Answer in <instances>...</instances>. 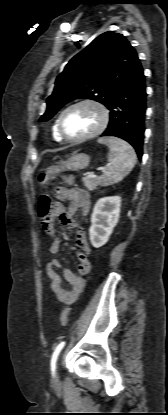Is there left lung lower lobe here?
I'll use <instances>...</instances> for the list:
<instances>
[{
    "label": "left lung lower lobe",
    "instance_id": "obj_1",
    "mask_svg": "<svg viewBox=\"0 0 168 415\" xmlns=\"http://www.w3.org/2000/svg\"><path fill=\"white\" fill-rule=\"evenodd\" d=\"M146 96L145 77L139 61L110 102V121L101 135L124 139L134 147L139 159L143 154Z\"/></svg>",
    "mask_w": 168,
    "mask_h": 415
}]
</instances>
